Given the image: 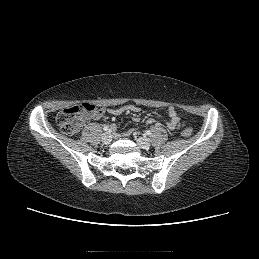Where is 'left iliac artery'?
<instances>
[{"mask_svg":"<svg viewBox=\"0 0 259 259\" xmlns=\"http://www.w3.org/2000/svg\"><path fill=\"white\" fill-rule=\"evenodd\" d=\"M146 134H147V135H150V134H151V131H150V130H147V131H146Z\"/></svg>","mask_w":259,"mask_h":259,"instance_id":"1","label":"left iliac artery"}]
</instances>
